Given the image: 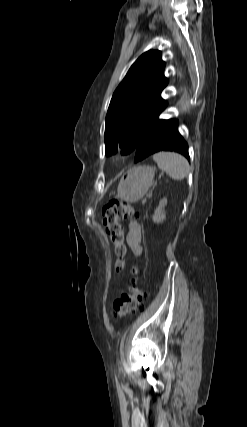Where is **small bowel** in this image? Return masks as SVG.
Returning <instances> with one entry per match:
<instances>
[{
    "mask_svg": "<svg viewBox=\"0 0 247 427\" xmlns=\"http://www.w3.org/2000/svg\"><path fill=\"white\" fill-rule=\"evenodd\" d=\"M126 240L135 255L142 254L141 227L136 221L129 222Z\"/></svg>",
    "mask_w": 247,
    "mask_h": 427,
    "instance_id": "1",
    "label": "small bowel"
}]
</instances>
